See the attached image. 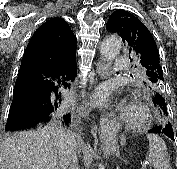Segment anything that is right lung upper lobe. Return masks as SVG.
<instances>
[{
  "mask_svg": "<svg viewBox=\"0 0 177 169\" xmlns=\"http://www.w3.org/2000/svg\"><path fill=\"white\" fill-rule=\"evenodd\" d=\"M77 39L61 18H53L41 25L27 45L22 62L49 66L76 64Z\"/></svg>",
  "mask_w": 177,
  "mask_h": 169,
  "instance_id": "right-lung-upper-lobe-1",
  "label": "right lung upper lobe"
}]
</instances>
